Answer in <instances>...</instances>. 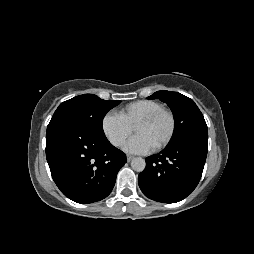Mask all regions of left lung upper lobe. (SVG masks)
I'll list each match as a JSON object with an SVG mask.
<instances>
[{"label": "left lung upper lobe", "mask_w": 254, "mask_h": 254, "mask_svg": "<svg viewBox=\"0 0 254 254\" xmlns=\"http://www.w3.org/2000/svg\"><path fill=\"white\" fill-rule=\"evenodd\" d=\"M148 99H160L173 112L175 126L168 145L193 137L208 138L204 117L192 99L171 91H157Z\"/></svg>", "instance_id": "obj_1"}]
</instances>
